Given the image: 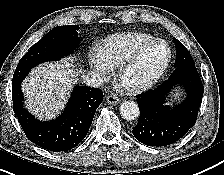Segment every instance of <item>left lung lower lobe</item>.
Here are the masks:
<instances>
[{
	"label": "left lung lower lobe",
	"mask_w": 224,
	"mask_h": 175,
	"mask_svg": "<svg viewBox=\"0 0 224 175\" xmlns=\"http://www.w3.org/2000/svg\"><path fill=\"white\" fill-rule=\"evenodd\" d=\"M181 86L187 97L178 106L165 105L172 89ZM204 87L195 65H180L169 78L154 90L137 97L140 118L132 133L147 146L173 144L194 126L203 97Z\"/></svg>",
	"instance_id": "0a47b994"
}]
</instances>
